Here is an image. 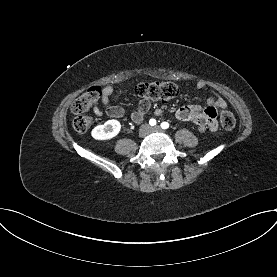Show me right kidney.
I'll return each mask as SVG.
<instances>
[{"mask_svg":"<svg viewBox=\"0 0 277 277\" xmlns=\"http://www.w3.org/2000/svg\"><path fill=\"white\" fill-rule=\"evenodd\" d=\"M121 124L118 120L112 119L105 122L103 125L96 126L91 135L96 140H109L117 136L120 132Z\"/></svg>","mask_w":277,"mask_h":277,"instance_id":"ca27d5eb","label":"right kidney"}]
</instances>
